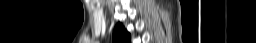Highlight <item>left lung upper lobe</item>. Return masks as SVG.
Wrapping results in <instances>:
<instances>
[{"label": "left lung upper lobe", "mask_w": 256, "mask_h": 43, "mask_svg": "<svg viewBox=\"0 0 256 43\" xmlns=\"http://www.w3.org/2000/svg\"><path fill=\"white\" fill-rule=\"evenodd\" d=\"M130 34L123 27V24L118 23L113 32L112 43H130Z\"/></svg>", "instance_id": "left-lung-upper-lobe-1"}]
</instances>
